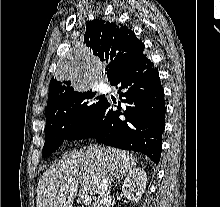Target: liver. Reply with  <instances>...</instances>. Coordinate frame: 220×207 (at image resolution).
Wrapping results in <instances>:
<instances>
[{
    "instance_id": "liver-1",
    "label": "liver",
    "mask_w": 220,
    "mask_h": 207,
    "mask_svg": "<svg viewBox=\"0 0 220 207\" xmlns=\"http://www.w3.org/2000/svg\"><path fill=\"white\" fill-rule=\"evenodd\" d=\"M137 164L133 154L112 147L89 145L73 150L48 168L37 186V207H72L80 194H98L104 176L122 177Z\"/></svg>"
}]
</instances>
